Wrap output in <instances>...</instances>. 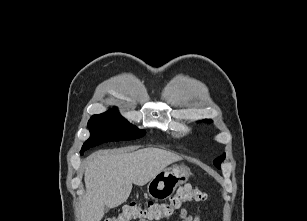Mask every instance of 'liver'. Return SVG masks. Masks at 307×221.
Instances as JSON below:
<instances>
[{
    "label": "liver",
    "instance_id": "obj_1",
    "mask_svg": "<svg viewBox=\"0 0 307 221\" xmlns=\"http://www.w3.org/2000/svg\"><path fill=\"white\" fill-rule=\"evenodd\" d=\"M180 160V156L158 148L91 154L86 159L82 221H101L106 207L115 208L126 202L132 184L143 186L168 165Z\"/></svg>",
    "mask_w": 307,
    "mask_h": 221
}]
</instances>
